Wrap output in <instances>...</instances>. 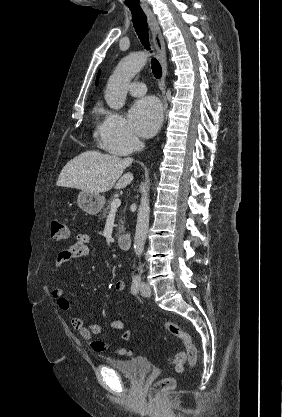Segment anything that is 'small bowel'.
<instances>
[{
    "label": "small bowel",
    "instance_id": "small-bowel-1",
    "mask_svg": "<svg viewBox=\"0 0 282 417\" xmlns=\"http://www.w3.org/2000/svg\"><path fill=\"white\" fill-rule=\"evenodd\" d=\"M90 243L91 239L89 235L85 232H79L76 235L75 243L59 253L54 267L55 271L59 272L61 270H66L68 268L66 263H68L71 259L85 257L89 253ZM113 287L115 291L122 292L125 290L126 284L122 280H117L114 282ZM51 296L56 301L60 310L68 311L70 309V302L62 288L53 289ZM71 324L92 351L102 353L113 348V342L94 338V335L102 333V327L99 324H85L80 317H73L71 319ZM110 326L114 330L122 331L120 335L121 341H127L130 338L131 331L123 330L122 321L112 320L110 322Z\"/></svg>",
    "mask_w": 282,
    "mask_h": 417
}]
</instances>
